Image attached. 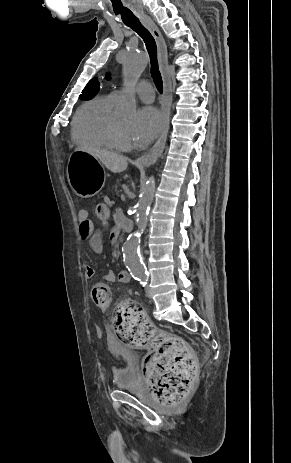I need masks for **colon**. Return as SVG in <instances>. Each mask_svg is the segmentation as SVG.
<instances>
[{
  "mask_svg": "<svg viewBox=\"0 0 291 463\" xmlns=\"http://www.w3.org/2000/svg\"><path fill=\"white\" fill-rule=\"evenodd\" d=\"M112 207L93 205V218L107 223ZM92 300L101 309L112 304V292L106 283H96L91 291ZM112 325L116 336L125 344L151 347L143 371L150 390L164 404L184 400L190 393L197 375L196 358L191 348L180 338L156 332L142 308L132 302H121L114 308Z\"/></svg>",
  "mask_w": 291,
  "mask_h": 463,
  "instance_id": "1",
  "label": "colon"
}]
</instances>
